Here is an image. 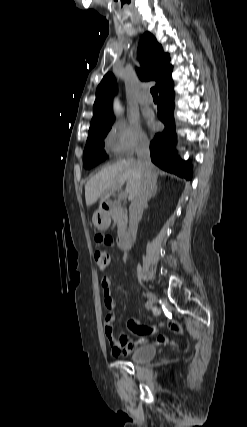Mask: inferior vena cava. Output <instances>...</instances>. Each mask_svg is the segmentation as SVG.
<instances>
[{
    "label": "inferior vena cava",
    "mask_w": 247,
    "mask_h": 427,
    "mask_svg": "<svg viewBox=\"0 0 247 427\" xmlns=\"http://www.w3.org/2000/svg\"><path fill=\"white\" fill-rule=\"evenodd\" d=\"M137 161L142 169L141 186L132 199L129 207V236L135 242L139 220L143 210L147 206L148 200L152 197L156 189V175L150 159L149 141L141 140L137 149Z\"/></svg>",
    "instance_id": "1"
}]
</instances>
